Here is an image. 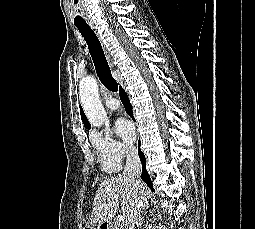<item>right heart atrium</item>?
I'll list each match as a JSON object with an SVG mask.
<instances>
[{"label":"right heart atrium","mask_w":255,"mask_h":229,"mask_svg":"<svg viewBox=\"0 0 255 229\" xmlns=\"http://www.w3.org/2000/svg\"><path fill=\"white\" fill-rule=\"evenodd\" d=\"M92 140L101 166L106 171L119 169L123 160L133 155L135 151L133 147L116 140L109 131L94 133Z\"/></svg>","instance_id":"right-heart-atrium-1"}]
</instances>
